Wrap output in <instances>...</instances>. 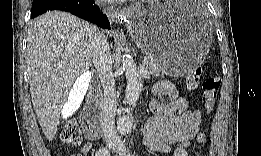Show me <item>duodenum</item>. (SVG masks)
Listing matches in <instances>:
<instances>
[{
    "mask_svg": "<svg viewBox=\"0 0 261 156\" xmlns=\"http://www.w3.org/2000/svg\"><path fill=\"white\" fill-rule=\"evenodd\" d=\"M101 118V103L97 91L92 92L87 100L82 120L85 125H91L95 120Z\"/></svg>",
    "mask_w": 261,
    "mask_h": 156,
    "instance_id": "1",
    "label": "duodenum"
}]
</instances>
